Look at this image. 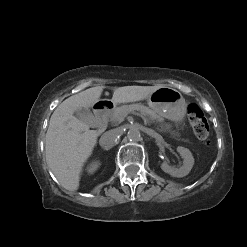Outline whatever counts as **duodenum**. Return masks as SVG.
<instances>
[{
    "instance_id": "1",
    "label": "duodenum",
    "mask_w": 247,
    "mask_h": 247,
    "mask_svg": "<svg viewBox=\"0 0 247 247\" xmlns=\"http://www.w3.org/2000/svg\"><path fill=\"white\" fill-rule=\"evenodd\" d=\"M111 108L112 104L110 102H103L95 107L94 115L99 130H103L106 127L107 116Z\"/></svg>"
}]
</instances>
